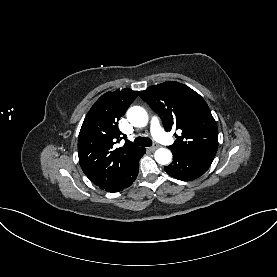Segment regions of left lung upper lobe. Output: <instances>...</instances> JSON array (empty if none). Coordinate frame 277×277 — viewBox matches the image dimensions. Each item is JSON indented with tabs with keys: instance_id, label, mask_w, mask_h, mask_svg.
<instances>
[{
	"instance_id": "left-lung-upper-lobe-1",
	"label": "left lung upper lobe",
	"mask_w": 277,
	"mask_h": 277,
	"mask_svg": "<svg viewBox=\"0 0 277 277\" xmlns=\"http://www.w3.org/2000/svg\"><path fill=\"white\" fill-rule=\"evenodd\" d=\"M140 97L160 116L166 131L182 130L169 146L171 151L217 152V124L197 92L184 84L167 81L148 87Z\"/></svg>"
}]
</instances>
